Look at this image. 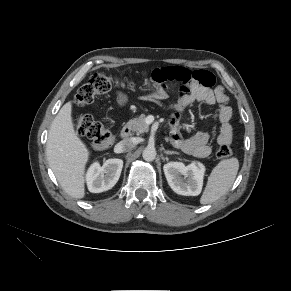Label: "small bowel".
Wrapping results in <instances>:
<instances>
[{
  "label": "small bowel",
  "mask_w": 291,
  "mask_h": 291,
  "mask_svg": "<svg viewBox=\"0 0 291 291\" xmlns=\"http://www.w3.org/2000/svg\"><path fill=\"white\" fill-rule=\"evenodd\" d=\"M153 74L161 80L155 82L151 91L142 95L144 100L162 102L168 97L165 91L166 84L171 82L180 84L179 96L171 105L175 111L171 120V141L174 146L199 158L207 157L211 152L208 132H197L188 138H183L179 131L180 113L194 102H201L208 106L218 105L217 116L220 130L217 143L219 145L231 143L233 137L232 109L228 105V97L224 89L221 86L213 87L215 78L212 73L205 70L191 72L187 68L174 66L155 69ZM201 76L204 79H201ZM116 97L119 105L127 102V96L124 93L119 92Z\"/></svg>",
  "instance_id": "c3829d8e"
}]
</instances>
